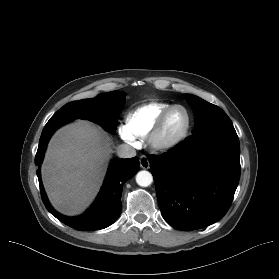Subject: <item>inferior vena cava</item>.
Here are the masks:
<instances>
[{
	"label": "inferior vena cava",
	"instance_id": "602c4592",
	"mask_svg": "<svg viewBox=\"0 0 279 279\" xmlns=\"http://www.w3.org/2000/svg\"><path fill=\"white\" fill-rule=\"evenodd\" d=\"M117 155L120 158H132L136 156V151L130 145L121 144L117 147Z\"/></svg>",
	"mask_w": 279,
	"mask_h": 279
}]
</instances>
